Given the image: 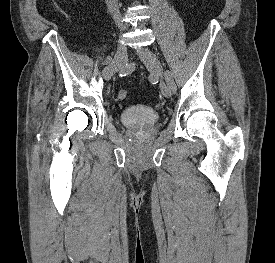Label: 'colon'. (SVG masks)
Returning <instances> with one entry per match:
<instances>
[{
	"label": "colon",
	"instance_id": "obj_1",
	"mask_svg": "<svg viewBox=\"0 0 275 263\" xmlns=\"http://www.w3.org/2000/svg\"><path fill=\"white\" fill-rule=\"evenodd\" d=\"M129 94H128V91L125 90V89H120L118 92H117V97L118 99L120 100H126L128 98Z\"/></svg>",
	"mask_w": 275,
	"mask_h": 263
}]
</instances>
